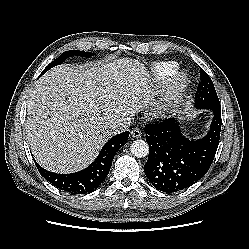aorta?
<instances>
[{
    "label": "aorta",
    "instance_id": "obj_1",
    "mask_svg": "<svg viewBox=\"0 0 249 249\" xmlns=\"http://www.w3.org/2000/svg\"><path fill=\"white\" fill-rule=\"evenodd\" d=\"M131 152L135 157L143 158L149 153V145L142 139H137L131 144Z\"/></svg>",
    "mask_w": 249,
    "mask_h": 249
}]
</instances>
